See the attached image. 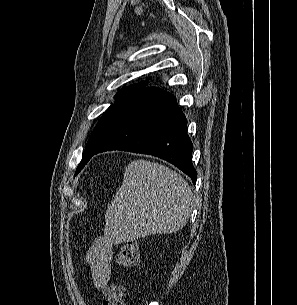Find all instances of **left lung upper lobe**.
Instances as JSON below:
<instances>
[{"label": "left lung upper lobe", "instance_id": "5c2ea615", "mask_svg": "<svg viewBox=\"0 0 297 305\" xmlns=\"http://www.w3.org/2000/svg\"><path fill=\"white\" fill-rule=\"evenodd\" d=\"M147 85V82L131 85L124 89H121L115 96L116 102L111 105L94 131L92 132L91 137L89 138L86 148L83 152V157L80 164L77 167L76 174H78L86 163L90 160L92 154L99 148L115 119L121 114V112L127 107V105L144 89Z\"/></svg>", "mask_w": 297, "mask_h": 305}]
</instances>
